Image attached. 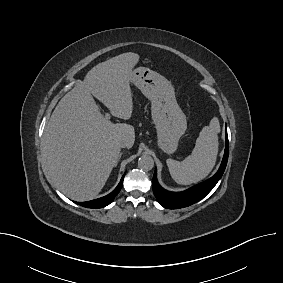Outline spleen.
<instances>
[{
  "label": "spleen",
  "mask_w": 283,
  "mask_h": 283,
  "mask_svg": "<svg viewBox=\"0 0 283 283\" xmlns=\"http://www.w3.org/2000/svg\"><path fill=\"white\" fill-rule=\"evenodd\" d=\"M220 124L213 117L209 126L203 127L196 139L195 147L182 162L167 159L171 177L176 183L190 185L204 179L214 168L218 154Z\"/></svg>",
  "instance_id": "spleen-1"
}]
</instances>
